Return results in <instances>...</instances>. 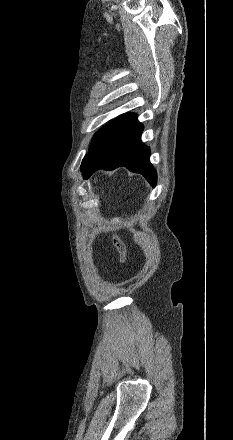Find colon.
<instances>
[{
	"mask_svg": "<svg viewBox=\"0 0 233 440\" xmlns=\"http://www.w3.org/2000/svg\"><path fill=\"white\" fill-rule=\"evenodd\" d=\"M113 243L118 253L119 264L123 265L126 262L127 250L120 233L114 235Z\"/></svg>",
	"mask_w": 233,
	"mask_h": 440,
	"instance_id": "1",
	"label": "colon"
}]
</instances>
